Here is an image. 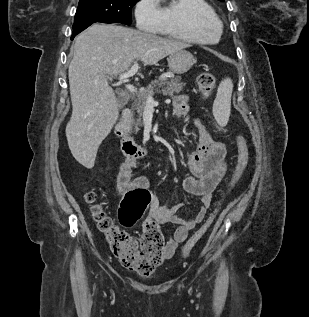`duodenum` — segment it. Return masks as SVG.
Returning <instances> with one entry per match:
<instances>
[{
    "instance_id": "obj_1",
    "label": "duodenum",
    "mask_w": 309,
    "mask_h": 317,
    "mask_svg": "<svg viewBox=\"0 0 309 317\" xmlns=\"http://www.w3.org/2000/svg\"><path fill=\"white\" fill-rule=\"evenodd\" d=\"M131 115L132 112L129 108L124 109L115 131L117 136L120 137L121 148L124 154L128 157L139 158L148 153V148L137 144L129 135L127 125Z\"/></svg>"
}]
</instances>
